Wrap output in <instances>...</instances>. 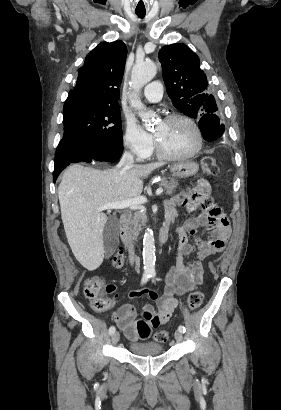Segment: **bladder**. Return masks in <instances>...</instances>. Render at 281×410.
<instances>
[{"mask_svg":"<svg viewBox=\"0 0 281 410\" xmlns=\"http://www.w3.org/2000/svg\"><path fill=\"white\" fill-rule=\"evenodd\" d=\"M129 350L137 356H154L164 352V347L154 342H137L129 345Z\"/></svg>","mask_w":281,"mask_h":410,"instance_id":"31cf9c89","label":"bladder"}]
</instances>
